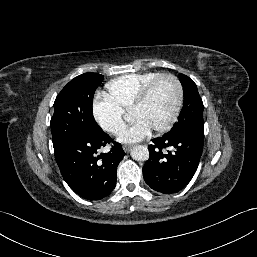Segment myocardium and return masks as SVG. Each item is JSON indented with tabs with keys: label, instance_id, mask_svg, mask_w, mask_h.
I'll use <instances>...</instances> for the list:
<instances>
[{
	"label": "myocardium",
	"instance_id": "f54148a6",
	"mask_svg": "<svg viewBox=\"0 0 257 257\" xmlns=\"http://www.w3.org/2000/svg\"><path fill=\"white\" fill-rule=\"evenodd\" d=\"M164 79H169L174 82L176 86V91H177V98H176V103L170 118L167 120L165 124L153 130L156 133H163L168 131L174 125V123L176 122L180 114V111L183 105V100H184V90H183L182 83L177 76L173 74H161L158 77H156L141 91L138 98L136 99V101L134 102V104L130 109L131 113L140 109L147 102V100L149 99L155 87Z\"/></svg>",
	"mask_w": 257,
	"mask_h": 257
}]
</instances>
